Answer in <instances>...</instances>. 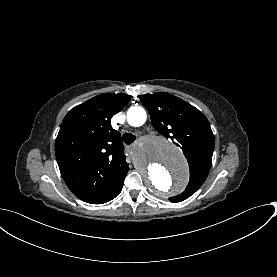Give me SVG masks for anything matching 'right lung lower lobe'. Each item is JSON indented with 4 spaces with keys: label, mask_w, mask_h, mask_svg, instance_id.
Listing matches in <instances>:
<instances>
[{
    "label": "right lung lower lobe",
    "mask_w": 277,
    "mask_h": 277,
    "mask_svg": "<svg viewBox=\"0 0 277 277\" xmlns=\"http://www.w3.org/2000/svg\"><path fill=\"white\" fill-rule=\"evenodd\" d=\"M127 172H126V174H127ZM126 174H125V176H126ZM125 176L123 177L122 181L118 184V186L114 189V191L111 194H109L108 196H106V197H104V198L94 202V204L106 203V202L112 200L113 198H115L116 196H118L119 193L122 190V186H123V183H124Z\"/></svg>",
    "instance_id": "98d812e1"
}]
</instances>
